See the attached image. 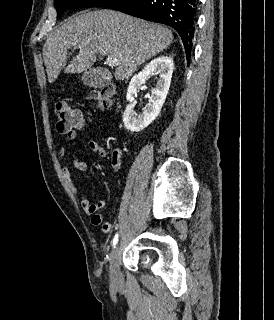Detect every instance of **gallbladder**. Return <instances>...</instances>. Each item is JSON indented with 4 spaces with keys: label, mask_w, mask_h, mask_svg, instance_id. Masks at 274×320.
Segmentation results:
<instances>
[{
    "label": "gallbladder",
    "mask_w": 274,
    "mask_h": 320,
    "mask_svg": "<svg viewBox=\"0 0 274 320\" xmlns=\"http://www.w3.org/2000/svg\"><path fill=\"white\" fill-rule=\"evenodd\" d=\"M111 79H116V72H106L105 68H87L81 80L85 86L109 85Z\"/></svg>",
    "instance_id": "bac80fb5"
}]
</instances>
